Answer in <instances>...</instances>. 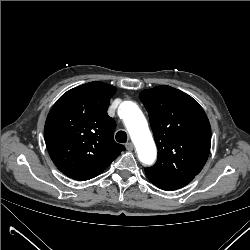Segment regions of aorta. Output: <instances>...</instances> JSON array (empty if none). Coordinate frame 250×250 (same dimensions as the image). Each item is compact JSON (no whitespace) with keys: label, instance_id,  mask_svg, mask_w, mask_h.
I'll use <instances>...</instances> for the list:
<instances>
[{"label":"aorta","instance_id":"aorta-1","mask_svg":"<svg viewBox=\"0 0 250 250\" xmlns=\"http://www.w3.org/2000/svg\"><path fill=\"white\" fill-rule=\"evenodd\" d=\"M124 105L134 117L127 118L125 123L136 147L139 160L144 164L150 165L156 158V146L148 128L147 121L135 103L125 102Z\"/></svg>","mask_w":250,"mask_h":250}]
</instances>
